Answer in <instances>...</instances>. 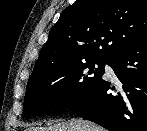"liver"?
Segmentation results:
<instances>
[{"label": "liver", "instance_id": "obj_1", "mask_svg": "<svg viewBox=\"0 0 147 131\" xmlns=\"http://www.w3.org/2000/svg\"><path fill=\"white\" fill-rule=\"evenodd\" d=\"M28 131H104L103 128L93 122L81 118H72L66 122L54 124L49 127H30Z\"/></svg>", "mask_w": 147, "mask_h": 131}]
</instances>
